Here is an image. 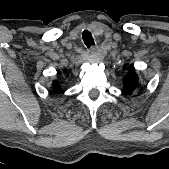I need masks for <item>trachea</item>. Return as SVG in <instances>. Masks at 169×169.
<instances>
[{
  "label": "trachea",
  "instance_id": "1",
  "mask_svg": "<svg viewBox=\"0 0 169 169\" xmlns=\"http://www.w3.org/2000/svg\"><path fill=\"white\" fill-rule=\"evenodd\" d=\"M82 39H83L84 44L86 45L87 48H90L94 45V39L92 37L91 32H89L88 30L83 31Z\"/></svg>",
  "mask_w": 169,
  "mask_h": 169
}]
</instances>
